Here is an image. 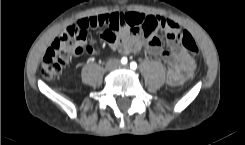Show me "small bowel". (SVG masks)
<instances>
[{
	"mask_svg": "<svg viewBox=\"0 0 245 145\" xmlns=\"http://www.w3.org/2000/svg\"><path fill=\"white\" fill-rule=\"evenodd\" d=\"M105 19L102 39L107 42L111 49L121 54H128L146 46L147 51L154 56H160L167 64V80L169 84L178 86L187 78L191 77L196 69L197 62L194 56L182 45L174 30L176 24L170 19H165L162 27L166 29V42L168 48H163L161 40L153 32L145 33L143 36H132L130 32L138 31L139 28L148 25L149 17L161 16L143 12H113L102 15ZM83 21H80V26ZM119 32L120 35H117ZM87 49L85 54H91L93 49L81 42Z\"/></svg>",
	"mask_w": 245,
	"mask_h": 145,
	"instance_id": "obj_1",
	"label": "small bowel"
}]
</instances>
